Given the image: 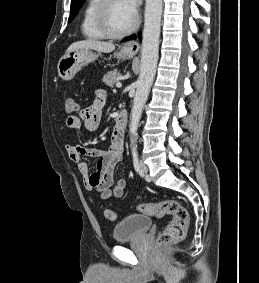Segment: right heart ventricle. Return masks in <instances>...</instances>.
<instances>
[{"label": "right heart ventricle", "mask_w": 259, "mask_h": 283, "mask_svg": "<svg viewBox=\"0 0 259 283\" xmlns=\"http://www.w3.org/2000/svg\"><path fill=\"white\" fill-rule=\"evenodd\" d=\"M101 0H88L84 8L81 31L88 39H103L105 36L100 32L97 26L96 14Z\"/></svg>", "instance_id": "1"}]
</instances>
